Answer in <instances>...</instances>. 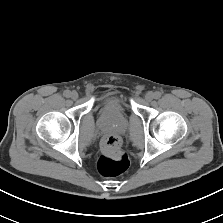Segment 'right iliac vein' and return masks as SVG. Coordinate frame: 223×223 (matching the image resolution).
I'll list each match as a JSON object with an SVG mask.
<instances>
[{"instance_id":"1","label":"right iliac vein","mask_w":223,"mask_h":223,"mask_svg":"<svg viewBox=\"0 0 223 223\" xmlns=\"http://www.w3.org/2000/svg\"><path fill=\"white\" fill-rule=\"evenodd\" d=\"M71 98H72L73 100H76V99L78 98V93H77L76 91H72V92H71Z\"/></svg>"}]
</instances>
